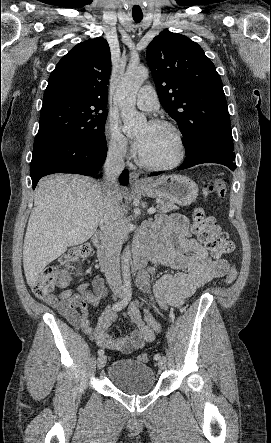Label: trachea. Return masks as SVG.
<instances>
[{
	"instance_id": "trachea-1",
	"label": "trachea",
	"mask_w": 271,
	"mask_h": 443,
	"mask_svg": "<svg viewBox=\"0 0 271 443\" xmlns=\"http://www.w3.org/2000/svg\"><path fill=\"white\" fill-rule=\"evenodd\" d=\"M128 1L131 7L132 17L136 23H139L142 20L144 14L141 7V2L140 0H128Z\"/></svg>"
}]
</instances>
